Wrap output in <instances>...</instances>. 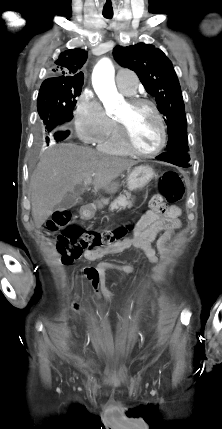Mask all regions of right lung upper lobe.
I'll return each instance as SVG.
<instances>
[{"instance_id":"cb5924a9","label":"right lung upper lobe","mask_w":222,"mask_h":429,"mask_svg":"<svg viewBox=\"0 0 222 429\" xmlns=\"http://www.w3.org/2000/svg\"><path fill=\"white\" fill-rule=\"evenodd\" d=\"M87 59V51L70 49L62 52L55 61V77L46 79L42 84H82L84 74L80 71Z\"/></svg>"}]
</instances>
